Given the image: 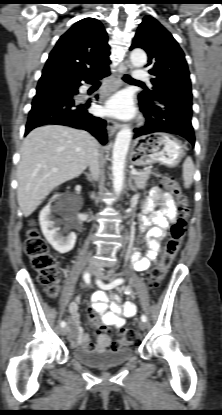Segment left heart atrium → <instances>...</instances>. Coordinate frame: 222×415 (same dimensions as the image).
<instances>
[{"label":"left heart atrium","instance_id":"1","mask_svg":"<svg viewBox=\"0 0 222 415\" xmlns=\"http://www.w3.org/2000/svg\"><path fill=\"white\" fill-rule=\"evenodd\" d=\"M106 110L108 113L121 118H128L134 112L132 99L128 93H119L107 103Z\"/></svg>","mask_w":222,"mask_h":415}]
</instances>
